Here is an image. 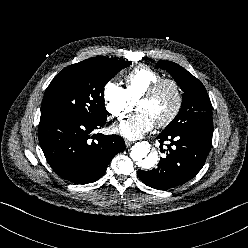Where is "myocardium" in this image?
Masks as SVG:
<instances>
[{
    "mask_svg": "<svg viewBox=\"0 0 248 248\" xmlns=\"http://www.w3.org/2000/svg\"><path fill=\"white\" fill-rule=\"evenodd\" d=\"M166 84H169L174 88L176 94V104L173 111L169 114L168 117H166L163 121L155 124L157 128H164L170 125L177 118V116L179 115L182 109L183 92L179 83L172 78H161L160 80L152 84L138 100V104H139L142 101H147L152 99L159 92V90Z\"/></svg>",
    "mask_w": 248,
    "mask_h": 248,
    "instance_id": "myocardium-1",
    "label": "myocardium"
}]
</instances>
